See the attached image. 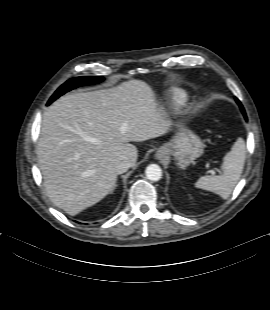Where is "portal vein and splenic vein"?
Segmentation results:
<instances>
[{"mask_svg": "<svg viewBox=\"0 0 270 310\" xmlns=\"http://www.w3.org/2000/svg\"><path fill=\"white\" fill-rule=\"evenodd\" d=\"M211 173H212V174H214V173H215V171H214V170H211Z\"/></svg>", "mask_w": 270, "mask_h": 310, "instance_id": "obj_1", "label": "portal vein and splenic vein"}]
</instances>
